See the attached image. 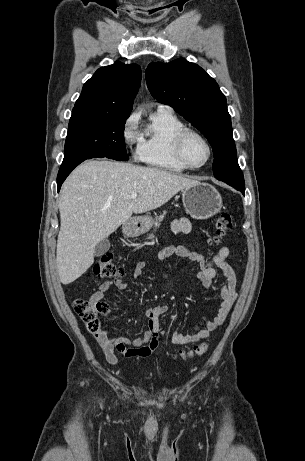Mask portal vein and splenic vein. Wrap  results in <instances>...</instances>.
<instances>
[{
  "label": "portal vein and splenic vein",
  "mask_w": 305,
  "mask_h": 461,
  "mask_svg": "<svg viewBox=\"0 0 305 461\" xmlns=\"http://www.w3.org/2000/svg\"><path fill=\"white\" fill-rule=\"evenodd\" d=\"M131 198H132V199H136V198H137V193L133 192V193L131 194Z\"/></svg>",
  "instance_id": "obj_1"
}]
</instances>
